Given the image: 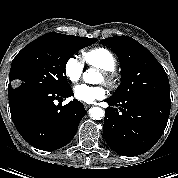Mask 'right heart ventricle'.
<instances>
[{"label": "right heart ventricle", "instance_id": "right-heart-ventricle-1", "mask_svg": "<svg viewBox=\"0 0 178 178\" xmlns=\"http://www.w3.org/2000/svg\"><path fill=\"white\" fill-rule=\"evenodd\" d=\"M85 61L93 67L101 70L113 71L116 67V57L104 47H96L84 52Z\"/></svg>", "mask_w": 178, "mask_h": 178}]
</instances>
